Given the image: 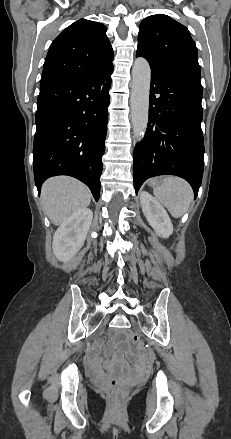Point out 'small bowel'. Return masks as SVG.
<instances>
[{
    "instance_id": "obj_1",
    "label": "small bowel",
    "mask_w": 231,
    "mask_h": 439,
    "mask_svg": "<svg viewBox=\"0 0 231 439\" xmlns=\"http://www.w3.org/2000/svg\"><path fill=\"white\" fill-rule=\"evenodd\" d=\"M93 369H94V372L98 375V376H103L104 375V371H103V369H102V359H101V357H100V355L99 354H95L94 356H93ZM139 369L141 370V371H146L147 370V365L145 364V363H140L139 364Z\"/></svg>"
}]
</instances>
